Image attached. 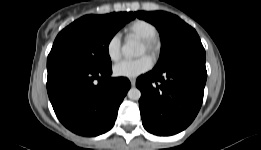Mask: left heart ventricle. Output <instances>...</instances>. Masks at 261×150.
<instances>
[{
  "label": "left heart ventricle",
  "mask_w": 261,
  "mask_h": 150,
  "mask_svg": "<svg viewBox=\"0 0 261 150\" xmlns=\"http://www.w3.org/2000/svg\"><path fill=\"white\" fill-rule=\"evenodd\" d=\"M146 52V50H145V47H144V45L143 44H141V46H140V54H144Z\"/></svg>",
  "instance_id": "b2bd125f"
}]
</instances>
